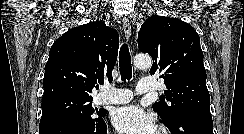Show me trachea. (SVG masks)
<instances>
[{
    "label": "trachea",
    "mask_w": 244,
    "mask_h": 134,
    "mask_svg": "<svg viewBox=\"0 0 244 134\" xmlns=\"http://www.w3.org/2000/svg\"><path fill=\"white\" fill-rule=\"evenodd\" d=\"M119 70L121 80H130L132 78L131 56L127 44H123L119 52Z\"/></svg>",
    "instance_id": "obj_1"
}]
</instances>
